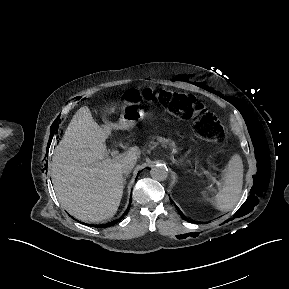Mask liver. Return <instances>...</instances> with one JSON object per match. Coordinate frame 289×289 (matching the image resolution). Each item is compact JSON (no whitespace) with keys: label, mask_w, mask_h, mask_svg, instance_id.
Here are the masks:
<instances>
[{"label":"liver","mask_w":289,"mask_h":289,"mask_svg":"<svg viewBox=\"0 0 289 289\" xmlns=\"http://www.w3.org/2000/svg\"><path fill=\"white\" fill-rule=\"evenodd\" d=\"M101 128L87 106L73 116L52 158V183L64 209L80 221L101 222L118 210L124 188L120 165L140 156L138 147L129 148L119 159H105V140L117 124L103 119Z\"/></svg>","instance_id":"liver-1"}]
</instances>
